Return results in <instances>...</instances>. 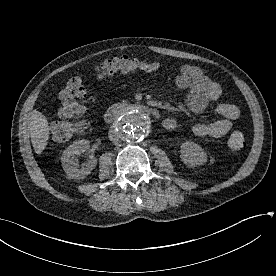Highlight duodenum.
<instances>
[{"label":"duodenum","mask_w":276,"mask_h":276,"mask_svg":"<svg viewBox=\"0 0 276 276\" xmlns=\"http://www.w3.org/2000/svg\"><path fill=\"white\" fill-rule=\"evenodd\" d=\"M130 110H139L151 114L155 117L159 116V111L156 108L143 104H118L111 106L104 114V120L107 123L115 122L122 114Z\"/></svg>","instance_id":"duodenum-1"}]
</instances>
